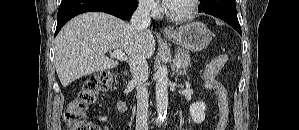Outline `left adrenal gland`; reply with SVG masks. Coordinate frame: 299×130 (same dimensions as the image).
<instances>
[{
    "label": "left adrenal gland",
    "instance_id": "left-adrenal-gland-1",
    "mask_svg": "<svg viewBox=\"0 0 299 130\" xmlns=\"http://www.w3.org/2000/svg\"><path fill=\"white\" fill-rule=\"evenodd\" d=\"M173 73H177V74H179V75H184V74H185L184 72H182V71L176 69L175 67H174V72H173Z\"/></svg>",
    "mask_w": 299,
    "mask_h": 130
}]
</instances>
